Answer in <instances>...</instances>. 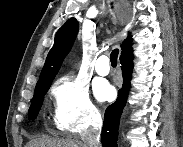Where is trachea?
I'll return each instance as SVG.
<instances>
[{
    "instance_id": "trachea-1",
    "label": "trachea",
    "mask_w": 183,
    "mask_h": 147,
    "mask_svg": "<svg viewBox=\"0 0 183 147\" xmlns=\"http://www.w3.org/2000/svg\"><path fill=\"white\" fill-rule=\"evenodd\" d=\"M118 54H119V50L118 49H114L111 54H110V61H111V65L113 67L117 66V58H118Z\"/></svg>"
}]
</instances>
